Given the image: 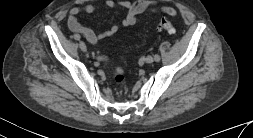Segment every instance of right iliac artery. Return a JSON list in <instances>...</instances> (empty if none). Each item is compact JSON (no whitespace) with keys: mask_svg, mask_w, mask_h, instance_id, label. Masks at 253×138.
I'll return each mask as SVG.
<instances>
[{"mask_svg":"<svg viewBox=\"0 0 253 138\" xmlns=\"http://www.w3.org/2000/svg\"><path fill=\"white\" fill-rule=\"evenodd\" d=\"M74 38H75L76 40H80V35H79V34H75V35H74Z\"/></svg>","mask_w":253,"mask_h":138,"instance_id":"right-iliac-artery-1","label":"right iliac artery"}]
</instances>
